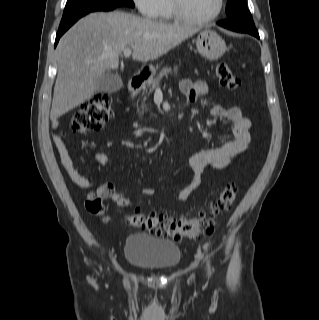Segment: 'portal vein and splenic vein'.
Wrapping results in <instances>:
<instances>
[{
  "label": "portal vein and splenic vein",
  "instance_id": "portal-vein-and-splenic-vein-1",
  "mask_svg": "<svg viewBox=\"0 0 319 320\" xmlns=\"http://www.w3.org/2000/svg\"><path fill=\"white\" fill-rule=\"evenodd\" d=\"M130 55H131V49H125L124 56L128 58L130 57ZM157 90H160V88H157Z\"/></svg>",
  "mask_w": 319,
  "mask_h": 320
}]
</instances>
